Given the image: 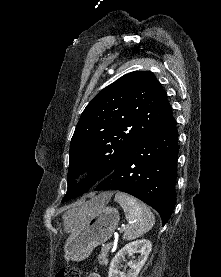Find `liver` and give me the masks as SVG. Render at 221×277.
Instances as JSON below:
<instances>
[{
	"label": "liver",
	"instance_id": "6515ba94",
	"mask_svg": "<svg viewBox=\"0 0 221 277\" xmlns=\"http://www.w3.org/2000/svg\"><path fill=\"white\" fill-rule=\"evenodd\" d=\"M112 195H113V193L106 192V193H103V194L95 197V200L98 204H106L110 200ZM74 214H75V210H71V211L66 212L63 216L66 231L68 230V228H67L68 221Z\"/></svg>",
	"mask_w": 221,
	"mask_h": 277
}]
</instances>
